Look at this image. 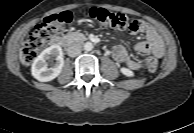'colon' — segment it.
I'll list each match as a JSON object with an SVG mask.
<instances>
[{
  "label": "colon",
  "mask_w": 194,
  "mask_h": 133,
  "mask_svg": "<svg viewBox=\"0 0 194 133\" xmlns=\"http://www.w3.org/2000/svg\"><path fill=\"white\" fill-rule=\"evenodd\" d=\"M83 12L86 16L102 25L116 29H126L127 24L130 22L128 17L123 13L111 12L103 8L91 7L85 9ZM71 20L72 15L70 12H62L47 17L42 23L38 24L29 34L23 45L22 51L25 63L30 65L54 36L65 27V25L70 23ZM157 65V61L152 58L147 59L144 64L149 72H155Z\"/></svg>",
  "instance_id": "obj_1"
}]
</instances>
